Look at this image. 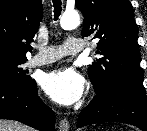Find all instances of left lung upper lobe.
<instances>
[{"instance_id":"obj_1","label":"left lung upper lobe","mask_w":147,"mask_h":131,"mask_svg":"<svg viewBox=\"0 0 147 131\" xmlns=\"http://www.w3.org/2000/svg\"><path fill=\"white\" fill-rule=\"evenodd\" d=\"M75 2L84 15L82 36L99 39L95 51L99 58L88 68L95 92L107 95L121 88L145 92L137 43L138 27L130 1Z\"/></svg>"}]
</instances>
